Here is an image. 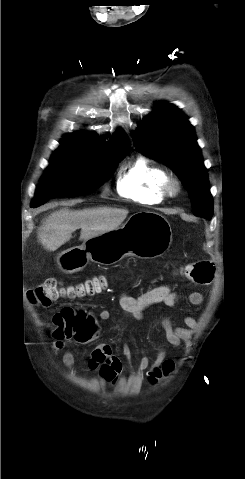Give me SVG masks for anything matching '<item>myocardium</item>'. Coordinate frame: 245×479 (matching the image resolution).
I'll return each mask as SVG.
<instances>
[{
  "label": "myocardium",
  "mask_w": 245,
  "mask_h": 479,
  "mask_svg": "<svg viewBox=\"0 0 245 479\" xmlns=\"http://www.w3.org/2000/svg\"><path fill=\"white\" fill-rule=\"evenodd\" d=\"M181 191V183L180 181L172 176H168L163 184V193L165 196L174 198L176 197Z\"/></svg>",
  "instance_id": "f54148a6"
}]
</instances>
